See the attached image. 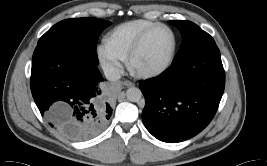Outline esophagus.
Here are the masks:
<instances>
[{"label": "esophagus", "instance_id": "esophagus-1", "mask_svg": "<svg viewBox=\"0 0 267 166\" xmlns=\"http://www.w3.org/2000/svg\"><path fill=\"white\" fill-rule=\"evenodd\" d=\"M123 84L126 85V86H128V87L134 86V83L131 82V81H128V80L124 81Z\"/></svg>", "mask_w": 267, "mask_h": 166}]
</instances>
